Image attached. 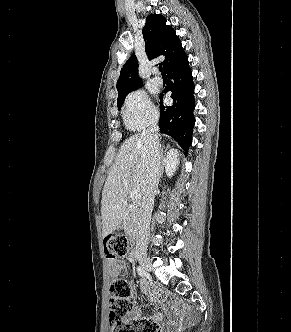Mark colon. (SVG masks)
I'll return each instance as SVG.
<instances>
[{
  "mask_svg": "<svg viewBox=\"0 0 291 332\" xmlns=\"http://www.w3.org/2000/svg\"><path fill=\"white\" fill-rule=\"evenodd\" d=\"M108 258L123 257L128 253L129 241L123 234L108 235L104 239ZM132 289L123 279H114L110 286L109 323L111 332H161L151 318L129 319L132 311Z\"/></svg>",
  "mask_w": 291,
  "mask_h": 332,
  "instance_id": "obj_1",
  "label": "colon"
}]
</instances>
